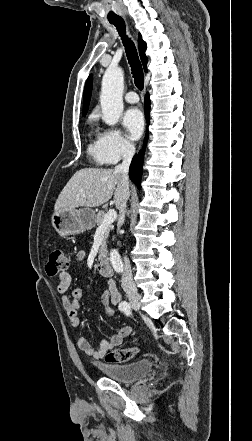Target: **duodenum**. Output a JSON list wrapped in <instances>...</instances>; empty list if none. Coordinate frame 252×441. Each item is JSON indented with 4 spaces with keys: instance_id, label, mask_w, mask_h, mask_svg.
Segmentation results:
<instances>
[{
    "instance_id": "obj_1",
    "label": "duodenum",
    "mask_w": 252,
    "mask_h": 441,
    "mask_svg": "<svg viewBox=\"0 0 252 441\" xmlns=\"http://www.w3.org/2000/svg\"><path fill=\"white\" fill-rule=\"evenodd\" d=\"M98 269L101 274L105 276L113 275V267L109 259L105 256H101L98 260Z\"/></svg>"
}]
</instances>
